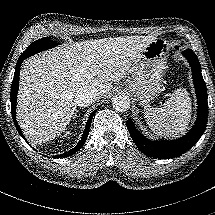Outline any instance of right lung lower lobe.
Masks as SVG:
<instances>
[{
  "mask_svg": "<svg viewBox=\"0 0 215 215\" xmlns=\"http://www.w3.org/2000/svg\"><path fill=\"white\" fill-rule=\"evenodd\" d=\"M26 58H28V57L21 54V56L18 59V62L15 67V73H14V78H13L12 85H11V94H10L12 118H13L17 131L23 137V139H25V137L23 136L22 131L16 121V102H17L16 99H17L18 86H19L20 67H21L23 60H25ZM95 113H96V110L90 115V117L87 121L85 130H84V133H83L82 138L79 141V143L74 148H72L70 151H68L64 154H60L58 156H54V158H62V157L71 156L74 153H76L84 145V143L86 142V139L88 137L91 122H92V119H93V116L95 115ZM25 141H26V139H25Z\"/></svg>",
  "mask_w": 215,
  "mask_h": 215,
  "instance_id": "1",
  "label": "right lung lower lobe"
}]
</instances>
